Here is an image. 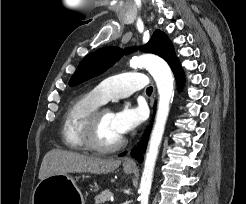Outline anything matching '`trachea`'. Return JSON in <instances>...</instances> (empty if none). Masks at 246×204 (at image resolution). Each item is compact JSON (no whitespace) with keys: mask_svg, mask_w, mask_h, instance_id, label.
Masks as SVG:
<instances>
[{"mask_svg":"<svg viewBox=\"0 0 246 204\" xmlns=\"http://www.w3.org/2000/svg\"><path fill=\"white\" fill-rule=\"evenodd\" d=\"M152 92H153V87L150 86L146 89L147 94H151Z\"/></svg>","mask_w":246,"mask_h":204,"instance_id":"trachea-1","label":"trachea"}]
</instances>
